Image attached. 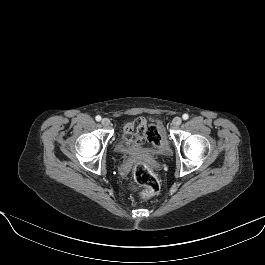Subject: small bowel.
I'll list each match as a JSON object with an SVG mask.
<instances>
[{"mask_svg":"<svg viewBox=\"0 0 265 265\" xmlns=\"http://www.w3.org/2000/svg\"><path fill=\"white\" fill-rule=\"evenodd\" d=\"M140 121L145 123L144 120H140ZM123 139L125 143H128V144L132 143L133 145H136V146H139L142 144L144 138L137 129V121L126 124V126L124 127Z\"/></svg>","mask_w":265,"mask_h":265,"instance_id":"1","label":"small bowel"}]
</instances>
